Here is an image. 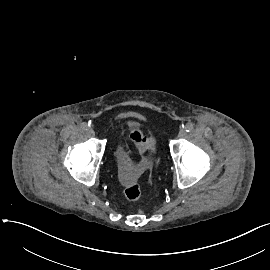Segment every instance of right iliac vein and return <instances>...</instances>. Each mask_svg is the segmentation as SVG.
<instances>
[{
    "mask_svg": "<svg viewBox=\"0 0 270 270\" xmlns=\"http://www.w3.org/2000/svg\"><path fill=\"white\" fill-rule=\"evenodd\" d=\"M87 133H88V135H89L90 137H94V136H95V132H94V130L91 129V128L87 130Z\"/></svg>",
    "mask_w": 270,
    "mask_h": 270,
    "instance_id": "right-iliac-vein-1",
    "label": "right iliac vein"
}]
</instances>
